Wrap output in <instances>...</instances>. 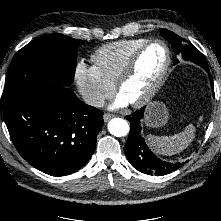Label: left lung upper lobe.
<instances>
[{
	"instance_id": "left-lung-upper-lobe-1",
	"label": "left lung upper lobe",
	"mask_w": 221,
	"mask_h": 221,
	"mask_svg": "<svg viewBox=\"0 0 221 221\" xmlns=\"http://www.w3.org/2000/svg\"><path fill=\"white\" fill-rule=\"evenodd\" d=\"M160 32L162 37L166 38L172 44L176 54L181 53L184 60L194 62L205 70L209 69L204 55L194 45L189 42L187 43L185 39L167 29H160ZM177 62L175 61V64Z\"/></svg>"
}]
</instances>
